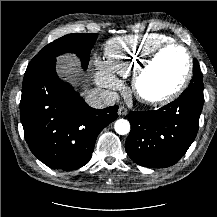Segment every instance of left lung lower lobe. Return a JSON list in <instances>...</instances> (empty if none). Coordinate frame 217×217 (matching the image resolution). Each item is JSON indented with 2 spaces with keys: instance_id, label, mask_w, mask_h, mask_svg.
Listing matches in <instances>:
<instances>
[{
  "instance_id": "1",
  "label": "left lung lower lobe",
  "mask_w": 217,
  "mask_h": 217,
  "mask_svg": "<svg viewBox=\"0 0 217 217\" xmlns=\"http://www.w3.org/2000/svg\"><path fill=\"white\" fill-rule=\"evenodd\" d=\"M203 103V91L188 87L158 110L131 112V131L125 143L129 157L149 168L174 165L197 135Z\"/></svg>"
}]
</instances>
